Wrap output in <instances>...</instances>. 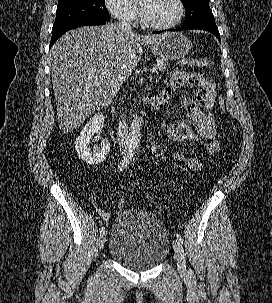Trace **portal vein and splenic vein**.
I'll return each instance as SVG.
<instances>
[{
    "label": "portal vein and splenic vein",
    "instance_id": "1",
    "mask_svg": "<svg viewBox=\"0 0 272 303\" xmlns=\"http://www.w3.org/2000/svg\"><path fill=\"white\" fill-rule=\"evenodd\" d=\"M155 71H156V68H154V67L150 69L151 73H154Z\"/></svg>",
    "mask_w": 272,
    "mask_h": 303
}]
</instances>
